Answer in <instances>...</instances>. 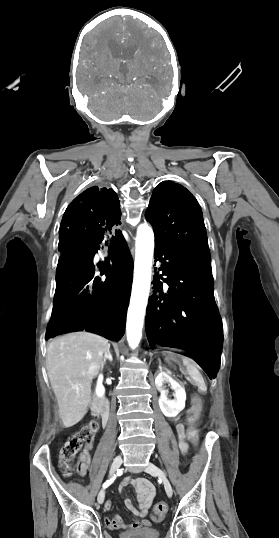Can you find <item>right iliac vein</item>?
Masks as SVG:
<instances>
[{"label":"right iliac vein","mask_w":279,"mask_h":538,"mask_svg":"<svg viewBox=\"0 0 279 538\" xmlns=\"http://www.w3.org/2000/svg\"><path fill=\"white\" fill-rule=\"evenodd\" d=\"M121 464H122V457L116 456L111 465L110 476H112L115 473V471L118 470ZM104 499H105V492L104 490H101L98 494L97 501L99 504H102L104 502Z\"/></svg>","instance_id":"right-iliac-vein-1"}]
</instances>
